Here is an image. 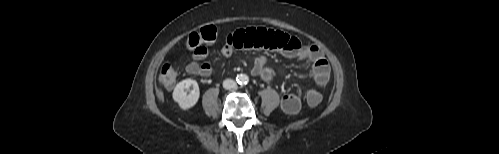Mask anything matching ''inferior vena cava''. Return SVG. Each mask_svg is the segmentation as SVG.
Masks as SVG:
<instances>
[{"label":"inferior vena cava","instance_id":"1","mask_svg":"<svg viewBox=\"0 0 499 154\" xmlns=\"http://www.w3.org/2000/svg\"><path fill=\"white\" fill-rule=\"evenodd\" d=\"M223 87L225 89H235L237 87V84L232 79H226L223 81Z\"/></svg>","mask_w":499,"mask_h":154}]
</instances>
